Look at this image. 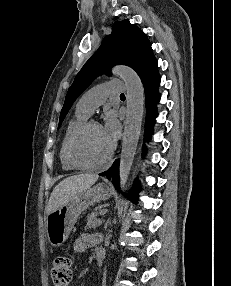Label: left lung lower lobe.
Here are the masks:
<instances>
[{
    "mask_svg": "<svg viewBox=\"0 0 231 286\" xmlns=\"http://www.w3.org/2000/svg\"><path fill=\"white\" fill-rule=\"evenodd\" d=\"M145 89L146 97V121H145V139H149L152 134L153 124L156 118V104L160 100L158 93V86L160 84V76L158 73L157 60L154 59L148 63L138 74ZM101 176H106L109 180L112 179V183L116 189L119 188V161H115L111 168L106 172L100 173ZM139 186L134 185L133 189L129 193L128 197L131 201L137 202Z\"/></svg>",
    "mask_w": 231,
    "mask_h": 286,
    "instance_id": "left-lung-lower-lobe-1",
    "label": "left lung lower lobe"
}]
</instances>
